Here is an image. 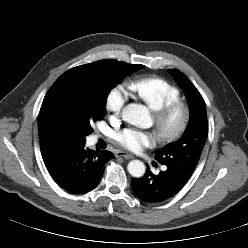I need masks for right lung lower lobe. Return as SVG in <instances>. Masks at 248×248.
Masks as SVG:
<instances>
[{
    "label": "right lung lower lobe",
    "mask_w": 248,
    "mask_h": 248,
    "mask_svg": "<svg viewBox=\"0 0 248 248\" xmlns=\"http://www.w3.org/2000/svg\"><path fill=\"white\" fill-rule=\"evenodd\" d=\"M112 158V152L97 153L86 149L84 143L67 146L43 160L61 188L72 194H84L98 185L105 163Z\"/></svg>",
    "instance_id": "obj_1"
}]
</instances>
